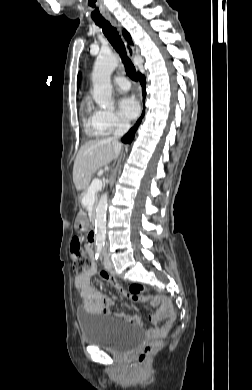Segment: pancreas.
Wrapping results in <instances>:
<instances>
[{
    "instance_id": "obj_1",
    "label": "pancreas",
    "mask_w": 252,
    "mask_h": 390,
    "mask_svg": "<svg viewBox=\"0 0 252 390\" xmlns=\"http://www.w3.org/2000/svg\"><path fill=\"white\" fill-rule=\"evenodd\" d=\"M84 198H85V196L83 195V199H84ZM79 205H80V206H83V205H84V202H83V201H80V202H79Z\"/></svg>"
}]
</instances>
